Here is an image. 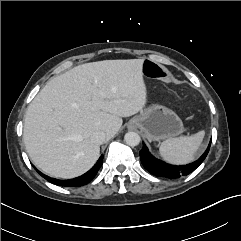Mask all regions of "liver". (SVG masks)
Returning <instances> with one entry per match:
<instances>
[{
	"mask_svg": "<svg viewBox=\"0 0 241 241\" xmlns=\"http://www.w3.org/2000/svg\"><path fill=\"white\" fill-rule=\"evenodd\" d=\"M142 59L103 60L50 79L27 108L23 139L33 164L52 177L87 172L100 148L91 135L117 134L122 117L143 109L147 90Z\"/></svg>",
	"mask_w": 241,
	"mask_h": 241,
	"instance_id": "liver-1",
	"label": "liver"
}]
</instances>
